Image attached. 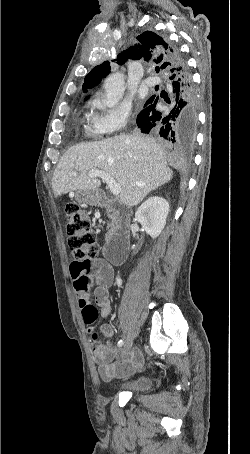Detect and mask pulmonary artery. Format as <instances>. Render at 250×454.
Here are the masks:
<instances>
[{"instance_id": "obj_1", "label": "pulmonary artery", "mask_w": 250, "mask_h": 454, "mask_svg": "<svg viewBox=\"0 0 250 454\" xmlns=\"http://www.w3.org/2000/svg\"><path fill=\"white\" fill-rule=\"evenodd\" d=\"M145 83L148 85V86H154L156 84L159 83V79L158 78H155V77H148L146 80H145Z\"/></svg>"}]
</instances>
